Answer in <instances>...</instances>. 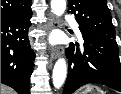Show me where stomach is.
Segmentation results:
<instances>
[{"label":"stomach","instance_id":"stomach-1","mask_svg":"<svg viewBox=\"0 0 121 94\" xmlns=\"http://www.w3.org/2000/svg\"><path fill=\"white\" fill-rule=\"evenodd\" d=\"M77 94H105L103 90L100 88L93 86V85H88L80 89Z\"/></svg>","mask_w":121,"mask_h":94}]
</instances>
